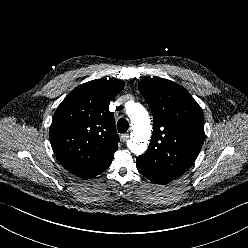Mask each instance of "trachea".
Returning a JSON list of instances; mask_svg holds the SVG:
<instances>
[{
  "label": "trachea",
  "mask_w": 248,
  "mask_h": 248,
  "mask_svg": "<svg viewBox=\"0 0 248 248\" xmlns=\"http://www.w3.org/2000/svg\"><path fill=\"white\" fill-rule=\"evenodd\" d=\"M119 133H125L129 128V123L125 118H120L117 122Z\"/></svg>",
  "instance_id": "obj_1"
}]
</instances>
